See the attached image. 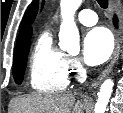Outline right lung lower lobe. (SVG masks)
Wrapping results in <instances>:
<instances>
[{
  "mask_svg": "<svg viewBox=\"0 0 123 113\" xmlns=\"http://www.w3.org/2000/svg\"><path fill=\"white\" fill-rule=\"evenodd\" d=\"M116 22H117V19L115 18V19H114V23L116 24Z\"/></svg>",
  "mask_w": 123,
  "mask_h": 113,
  "instance_id": "98d812e1",
  "label": "right lung lower lobe"
}]
</instances>
